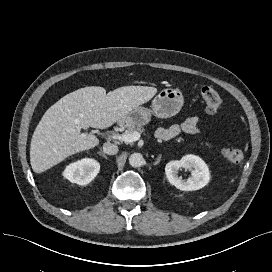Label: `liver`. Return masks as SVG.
Segmentation results:
<instances>
[{
	"instance_id": "liver-1",
	"label": "liver",
	"mask_w": 272,
	"mask_h": 272,
	"mask_svg": "<svg viewBox=\"0 0 272 272\" xmlns=\"http://www.w3.org/2000/svg\"><path fill=\"white\" fill-rule=\"evenodd\" d=\"M156 93L157 88L148 86H124L108 93L103 87L90 86L65 95L45 112L33 133V171L42 173L73 154L94 148L98 138L81 129L108 128Z\"/></svg>"
}]
</instances>
